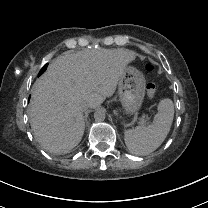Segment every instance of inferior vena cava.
<instances>
[{"instance_id": "inferior-vena-cava-1", "label": "inferior vena cava", "mask_w": 208, "mask_h": 208, "mask_svg": "<svg viewBox=\"0 0 208 208\" xmlns=\"http://www.w3.org/2000/svg\"><path fill=\"white\" fill-rule=\"evenodd\" d=\"M88 104L86 103V102H81L80 103V106H79V108H80V110L82 111V112H84V111H86L87 109H88Z\"/></svg>"}]
</instances>
